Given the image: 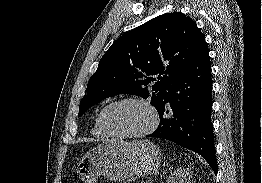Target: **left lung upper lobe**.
Wrapping results in <instances>:
<instances>
[{
	"mask_svg": "<svg viewBox=\"0 0 262 183\" xmlns=\"http://www.w3.org/2000/svg\"><path fill=\"white\" fill-rule=\"evenodd\" d=\"M205 48L204 34L182 13L160 15L118 38L100 59L78 116L118 94L150 97L158 110L174 79ZM151 76H156L153 78ZM154 82L152 90L147 85Z\"/></svg>",
	"mask_w": 262,
	"mask_h": 183,
	"instance_id": "left-lung-upper-lobe-1",
	"label": "left lung upper lobe"
}]
</instances>
